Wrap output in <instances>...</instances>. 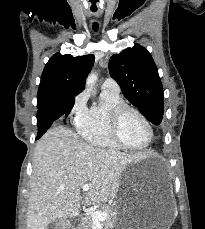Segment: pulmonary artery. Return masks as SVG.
Here are the masks:
<instances>
[{
  "mask_svg": "<svg viewBox=\"0 0 205 229\" xmlns=\"http://www.w3.org/2000/svg\"><path fill=\"white\" fill-rule=\"evenodd\" d=\"M102 89L108 90V91L116 93V94H119V92H120L119 85L111 78H108L104 81V83L102 85Z\"/></svg>",
  "mask_w": 205,
  "mask_h": 229,
  "instance_id": "obj_1",
  "label": "pulmonary artery"
}]
</instances>
